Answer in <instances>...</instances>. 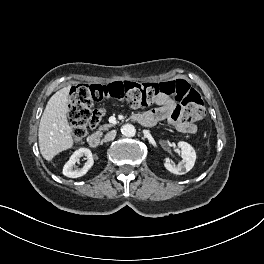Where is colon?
I'll return each mask as SVG.
<instances>
[{
	"label": "colon",
	"instance_id": "5ec220e1",
	"mask_svg": "<svg viewBox=\"0 0 264 264\" xmlns=\"http://www.w3.org/2000/svg\"><path fill=\"white\" fill-rule=\"evenodd\" d=\"M164 99H175L187 120H200L205 114L201 95L180 79L162 83L117 81L107 85L79 84L72 89L68 112L73 136L80 141L88 128L97 126L101 113L92 108L103 101L117 100L132 107H145Z\"/></svg>",
	"mask_w": 264,
	"mask_h": 264
}]
</instances>
